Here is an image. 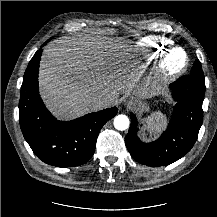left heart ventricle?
I'll use <instances>...</instances> for the list:
<instances>
[{
	"label": "left heart ventricle",
	"mask_w": 217,
	"mask_h": 217,
	"mask_svg": "<svg viewBox=\"0 0 217 217\" xmlns=\"http://www.w3.org/2000/svg\"><path fill=\"white\" fill-rule=\"evenodd\" d=\"M184 61V55L181 52H176L173 54L170 64L172 66H179Z\"/></svg>",
	"instance_id": "b2bd125f"
}]
</instances>
